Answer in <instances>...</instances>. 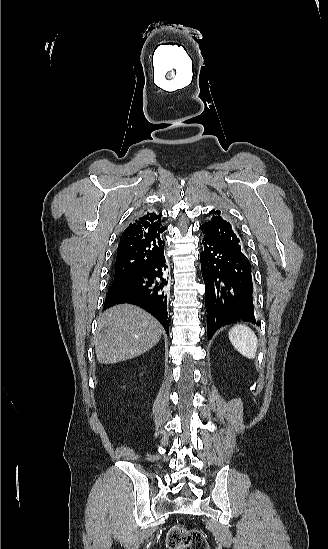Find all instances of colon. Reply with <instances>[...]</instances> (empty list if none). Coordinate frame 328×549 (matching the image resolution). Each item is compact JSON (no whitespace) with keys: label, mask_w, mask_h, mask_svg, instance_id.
<instances>
[{"label":"colon","mask_w":328,"mask_h":549,"mask_svg":"<svg viewBox=\"0 0 328 549\" xmlns=\"http://www.w3.org/2000/svg\"><path fill=\"white\" fill-rule=\"evenodd\" d=\"M166 544L169 549H209L206 536L201 531L182 524H175L168 530Z\"/></svg>","instance_id":"obj_1"}]
</instances>
